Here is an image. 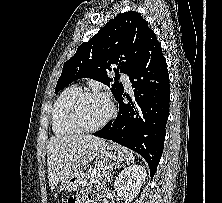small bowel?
Wrapping results in <instances>:
<instances>
[{"label":"small bowel","instance_id":"obj_1","mask_svg":"<svg viewBox=\"0 0 222 203\" xmlns=\"http://www.w3.org/2000/svg\"><path fill=\"white\" fill-rule=\"evenodd\" d=\"M72 203H89L88 201H77L75 199H72Z\"/></svg>","mask_w":222,"mask_h":203}]
</instances>
